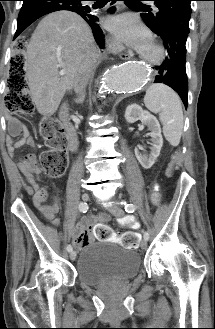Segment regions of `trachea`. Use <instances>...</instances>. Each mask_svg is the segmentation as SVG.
<instances>
[{"label": "trachea", "mask_w": 215, "mask_h": 329, "mask_svg": "<svg viewBox=\"0 0 215 329\" xmlns=\"http://www.w3.org/2000/svg\"><path fill=\"white\" fill-rule=\"evenodd\" d=\"M123 1H125L126 5H138V6L148 7L144 4L136 2V0H123Z\"/></svg>", "instance_id": "trachea-1"}]
</instances>
